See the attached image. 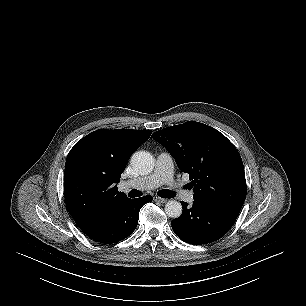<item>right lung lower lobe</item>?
Masks as SVG:
<instances>
[{"mask_svg":"<svg viewBox=\"0 0 306 306\" xmlns=\"http://www.w3.org/2000/svg\"><path fill=\"white\" fill-rule=\"evenodd\" d=\"M151 201L152 197L150 195L137 199L128 198L106 219L83 232L100 243L112 244L121 241L135 230L140 209L144 204Z\"/></svg>","mask_w":306,"mask_h":306,"instance_id":"98d812e1","label":"right lung lower lobe"}]
</instances>
